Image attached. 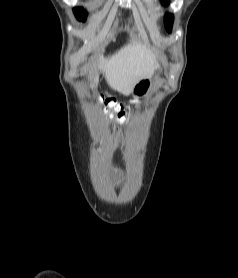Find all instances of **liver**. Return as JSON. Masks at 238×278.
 I'll return each instance as SVG.
<instances>
[{
	"label": "liver",
	"mask_w": 238,
	"mask_h": 278,
	"mask_svg": "<svg viewBox=\"0 0 238 278\" xmlns=\"http://www.w3.org/2000/svg\"><path fill=\"white\" fill-rule=\"evenodd\" d=\"M97 66L113 90L128 95L139 79L153 74L158 63L151 50L141 43L130 41L111 56L101 55ZM94 82L97 84V77Z\"/></svg>",
	"instance_id": "liver-1"
}]
</instances>
